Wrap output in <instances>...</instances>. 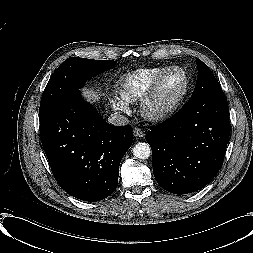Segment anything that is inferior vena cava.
Wrapping results in <instances>:
<instances>
[{"label":"inferior vena cava","instance_id":"1","mask_svg":"<svg viewBox=\"0 0 253 253\" xmlns=\"http://www.w3.org/2000/svg\"><path fill=\"white\" fill-rule=\"evenodd\" d=\"M108 122L114 126H124L128 124V118L120 113H113L109 116Z\"/></svg>","mask_w":253,"mask_h":253}]
</instances>
